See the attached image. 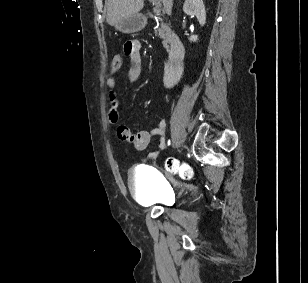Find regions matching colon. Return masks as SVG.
Wrapping results in <instances>:
<instances>
[{
    "mask_svg": "<svg viewBox=\"0 0 308 283\" xmlns=\"http://www.w3.org/2000/svg\"><path fill=\"white\" fill-rule=\"evenodd\" d=\"M122 67V58L119 54L114 55L112 59V70L118 71ZM166 169L174 174L179 175L181 178L190 179L193 172L188 165L180 163L177 159L170 158L165 163Z\"/></svg>",
    "mask_w": 308,
    "mask_h": 283,
    "instance_id": "5ec220e1",
    "label": "colon"
}]
</instances>
